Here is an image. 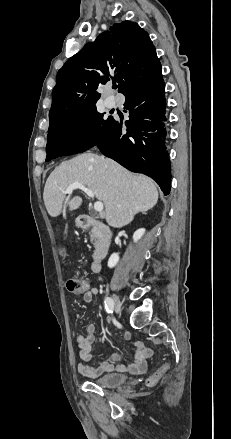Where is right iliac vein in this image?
<instances>
[{
    "label": "right iliac vein",
    "instance_id": "63e3f726",
    "mask_svg": "<svg viewBox=\"0 0 231 439\" xmlns=\"http://www.w3.org/2000/svg\"><path fill=\"white\" fill-rule=\"evenodd\" d=\"M112 300L114 302V310L116 313H120L121 311V302L119 297L116 294L112 295Z\"/></svg>",
    "mask_w": 231,
    "mask_h": 439
}]
</instances>
